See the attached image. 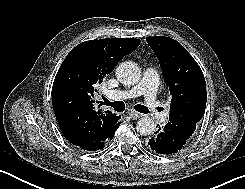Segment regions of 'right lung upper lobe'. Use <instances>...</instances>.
<instances>
[{
  "instance_id": "cb5924a9",
  "label": "right lung upper lobe",
  "mask_w": 245,
  "mask_h": 189,
  "mask_svg": "<svg viewBox=\"0 0 245 189\" xmlns=\"http://www.w3.org/2000/svg\"><path fill=\"white\" fill-rule=\"evenodd\" d=\"M141 43L135 38H106L80 43L62 62L52 88V104L59 127L73 143L92 140L95 122L106 116L112 128L119 116L96 109L93 101L97 85L102 83L118 61Z\"/></svg>"
}]
</instances>
